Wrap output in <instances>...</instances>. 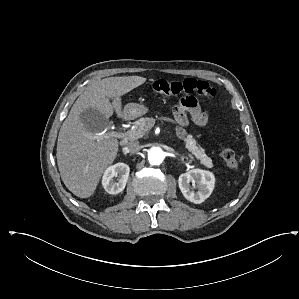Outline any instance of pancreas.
<instances>
[{
	"mask_svg": "<svg viewBox=\"0 0 299 299\" xmlns=\"http://www.w3.org/2000/svg\"><path fill=\"white\" fill-rule=\"evenodd\" d=\"M150 129L149 118H140L139 120L134 122V128L131 130L130 139L136 140L145 135V133ZM185 147L191 152L198 160H200L201 164H203L207 168H212L213 163L210 157H208L203 148L197 146L195 139L192 135H188L185 139Z\"/></svg>",
	"mask_w": 299,
	"mask_h": 299,
	"instance_id": "obj_1",
	"label": "pancreas"
}]
</instances>
